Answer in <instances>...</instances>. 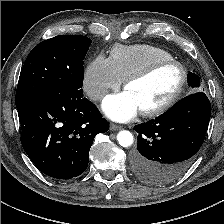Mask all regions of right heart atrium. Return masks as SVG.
<instances>
[{
  "label": "right heart atrium",
  "instance_id": "d8ad5b80",
  "mask_svg": "<svg viewBox=\"0 0 224 224\" xmlns=\"http://www.w3.org/2000/svg\"><path fill=\"white\" fill-rule=\"evenodd\" d=\"M122 80L116 74L110 58L95 57L86 67L83 88L92 101L101 100L110 90H117Z\"/></svg>",
  "mask_w": 224,
  "mask_h": 224
}]
</instances>
